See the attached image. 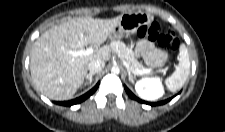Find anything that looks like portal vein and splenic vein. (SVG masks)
Returning <instances> with one entry per match:
<instances>
[{
  "label": "portal vein and splenic vein",
  "mask_w": 225,
  "mask_h": 132,
  "mask_svg": "<svg viewBox=\"0 0 225 132\" xmlns=\"http://www.w3.org/2000/svg\"><path fill=\"white\" fill-rule=\"evenodd\" d=\"M94 52V50L92 48H87L85 50H77V51H70L69 53L76 57V56H85V55H90ZM127 66V65H126ZM149 69H143V70H139V71H134L132 70L133 73L137 72L138 74H143V73H147L149 72Z\"/></svg>",
  "instance_id": "18ae733b"
}]
</instances>
